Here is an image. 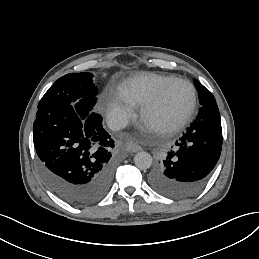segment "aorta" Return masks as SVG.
<instances>
[{"label":"aorta","instance_id":"762f6f07","mask_svg":"<svg viewBox=\"0 0 259 259\" xmlns=\"http://www.w3.org/2000/svg\"><path fill=\"white\" fill-rule=\"evenodd\" d=\"M134 163L141 170L148 169L152 165V157L147 152H139L134 157Z\"/></svg>","mask_w":259,"mask_h":259}]
</instances>
